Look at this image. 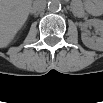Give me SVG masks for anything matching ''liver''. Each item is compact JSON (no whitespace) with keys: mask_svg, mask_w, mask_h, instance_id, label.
<instances>
[{"mask_svg":"<svg viewBox=\"0 0 103 103\" xmlns=\"http://www.w3.org/2000/svg\"><path fill=\"white\" fill-rule=\"evenodd\" d=\"M30 11V2L5 0L1 2L0 44L7 47L25 24Z\"/></svg>","mask_w":103,"mask_h":103,"instance_id":"6515ba94","label":"liver"}]
</instances>
